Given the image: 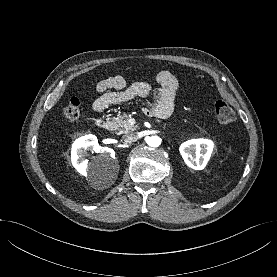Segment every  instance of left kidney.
<instances>
[{
	"label": "left kidney",
	"instance_id": "5707ae66",
	"mask_svg": "<svg viewBox=\"0 0 277 277\" xmlns=\"http://www.w3.org/2000/svg\"><path fill=\"white\" fill-rule=\"evenodd\" d=\"M213 147V142L208 139H192L182 143L179 150L189 167L202 170L211 157Z\"/></svg>",
	"mask_w": 277,
	"mask_h": 277
}]
</instances>
